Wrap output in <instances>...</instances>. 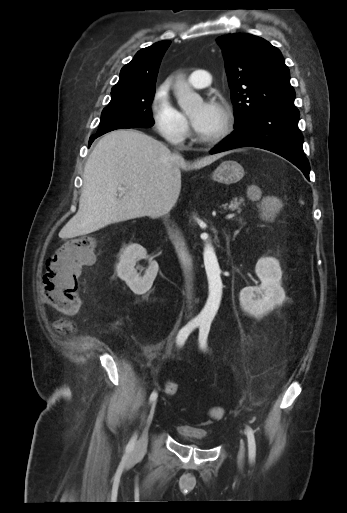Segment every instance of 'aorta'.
Listing matches in <instances>:
<instances>
[{
    "mask_svg": "<svg viewBox=\"0 0 347 513\" xmlns=\"http://www.w3.org/2000/svg\"><path fill=\"white\" fill-rule=\"evenodd\" d=\"M174 90L178 104L185 113H190L203 102L201 96L192 91L190 85L182 76L177 78ZM204 265L208 277L209 297L205 307L199 314V318L202 321L211 322L220 305L223 285L217 257L209 242L206 243L204 248Z\"/></svg>",
    "mask_w": 347,
    "mask_h": 513,
    "instance_id": "obj_1",
    "label": "aorta"
}]
</instances>
